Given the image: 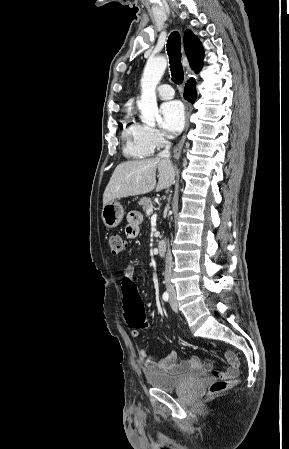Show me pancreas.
Returning a JSON list of instances; mask_svg holds the SVG:
<instances>
[{
    "label": "pancreas",
    "mask_w": 289,
    "mask_h": 449,
    "mask_svg": "<svg viewBox=\"0 0 289 449\" xmlns=\"http://www.w3.org/2000/svg\"><path fill=\"white\" fill-rule=\"evenodd\" d=\"M139 205L142 206L143 210L146 211L149 208H153V203L150 198L143 197L139 201Z\"/></svg>",
    "instance_id": "1"
}]
</instances>
